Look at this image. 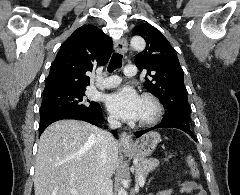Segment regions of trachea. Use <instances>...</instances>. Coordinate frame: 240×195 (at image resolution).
Segmentation results:
<instances>
[{
	"label": "trachea",
	"instance_id": "3493384b",
	"mask_svg": "<svg viewBox=\"0 0 240 195\" xmlns=\"http://www.w3.org/2000/svg\"><path fill=\"white\" fill-rule=\"evenodd\" d=\"M121 67H122V55L121 53H114L108 65V72L111 73L117 68Z\"/></svg>",
	"mask_w": 240,
	"mask_h": 195
}]
</instances>
